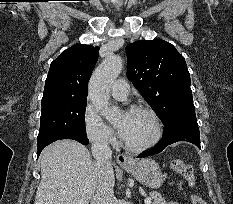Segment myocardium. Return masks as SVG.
Instances as JSON below:
<instances>
[{"label":"myocardium","instance_id":"1","mask_svg":"<svg viewBox=\"0 0 233 204\" xmlns=\"http://www.w3.org/2000/svg\"><path fill=\"white\" fill-rule=\"evenodd\" d=\"M126 112L127 113H132V112L147 113L153 120L155 131H154L153 137L148 142L141 144V145H132V144L128 143L122 137V135H120V138H121V141H122L124 148L127 149L128 151L138 153V152L147 151V150L153 148L155 145H157L158 142L161 140L162 135H163L162 122H161V119H160L159 115L157 114V112L154 109H152L151 107L145 106V105H133L130 108H128Z\"/></svg>","mask_w":233,"mask_h":204}]
</instances>
